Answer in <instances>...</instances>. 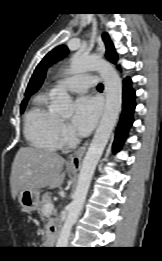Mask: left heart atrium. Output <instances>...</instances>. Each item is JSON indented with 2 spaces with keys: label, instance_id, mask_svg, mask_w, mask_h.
<instances>
[{
  "label": "left heart atrium",
  "instance_id": "obj_1",
  "mask_svg": "<svg viewBox=\"0 0 162 261\" xmlns=\"http://www.w3.org/2000/svg\"><path fill=\"white\" fill-rule=\"evenodd\" d=\"M100 105L91 96H81L74 103L72 126L80 134H88L98 119Z\"/></svg>",
  "mask_w": 162,
  "mask_h": 261
}]
</instances>
